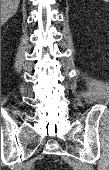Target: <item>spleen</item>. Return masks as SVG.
I'll use <instances>...</instances> for the list:
<instances>
[{
    "label": "spleen",
    "mask_w": 109,
    "mask_h": 170,
    "mask_svg": "<svg viewBox=\"0 0 109 170\" xmlns=\"http://www.w3.org/2000/svg\"><path fill=\"white\" fill-rule=\"evenodd\" d=\"M103 1L107 2V1H109V0H103Z\"/></svg>",
    "instance_id": "obj_1"
}]
</instances>
